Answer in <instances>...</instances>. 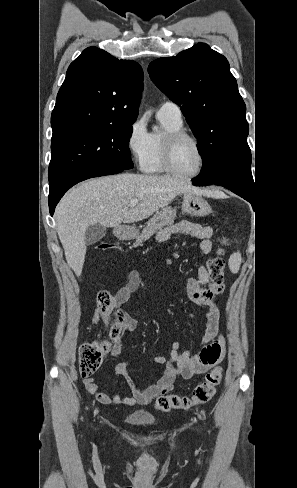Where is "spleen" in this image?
<instances>
[{
  "label": "spleen",
  "instance_id": "1",
  "mask_svg": "<svg viewBox=\"0 0 297 488\" xmlns=\"http://www.w3.org/2000/svg\"><path fill=\"white\" fill-rule=\"evenodd\" d=\"M241 253L237 252L230 256L229 258V268L232 273H237L241 265Z\"/></svg>",
  "mask_w": 297,
  "mask_h": 488
}]
</instances>
